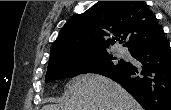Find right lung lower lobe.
Masks as SVG:
<instances>
[{
    "mask_svg": "<svg viewBox=\"0 0 171 110\" xmlns=\"http://www.w3.org/2000/svg\"><path fill=\"white\" fill-rule=\"evenodd\" d=\"M140 62L109 71L145 110H171V48L165 36L131 52Z\"/></svg>",
    "mask_w": 171,
    "mask_h": 110,
    "instance_id": "1",
    "label": "right lung lower lobe"
}]
</instances>
